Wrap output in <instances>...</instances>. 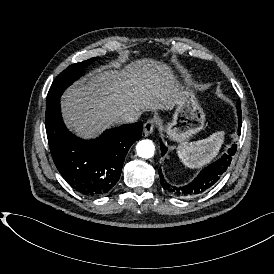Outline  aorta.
<instances>
[{
	"mask_svg": "<svg viewBox=\"0 0 274 274\" xmlns=\"http://www.w3.org/2000/svg\"><path fill=\"white\" fill-rule=\"evenodd\" d=\"M154 144L151 140L145 139L141 140L136 145L137 155L141 158H151L154 155Z\"/></svg>",
	"mask_w": 274,
	"mask_h": 274,
	"instance_id": "1",
	"label": "aorta"
}]
</instances>
